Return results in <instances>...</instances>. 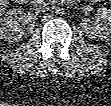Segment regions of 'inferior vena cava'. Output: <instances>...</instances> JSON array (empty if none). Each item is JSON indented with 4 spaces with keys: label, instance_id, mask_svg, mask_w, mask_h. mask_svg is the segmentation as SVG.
<instances>
[{
    "label": "inferior vena cava",
    "instance_id": "obj_1",
    "mask_svg": "<svg viewBox=\"0 0 111 106\" xmlns=\"http://www.w3.org/2000/svg\"><path fill=\"white\" fill-rule=\"evenodd\" d=\"M33 7L37 12L44 13V12L49 11V7L47 6V2L44 0L34 1Z\"/></svg>",
    "mask_w": 111,
    "mask_h": 106
}]
</instances>
